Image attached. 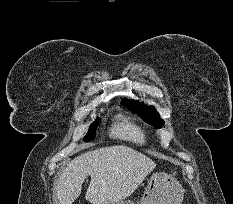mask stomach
Masks as SVG:
<instances>
[{
	"mask_svg": "<svg viewBox=\"0 0 233 204\" xmlns=\"http://www.w3.org/2000/svg\"><path fill=\"white\" fill-rule=\"evenodd\" d=\"M148 185L139 204H182L183 188L179 181L165 172L154 173L147 179ZM114 204H135L120 200Z\"/></svg>",
	"mask_w": 233,
	"mask_h": 204,
	"instance_id": "stomach-1",
	"label": "stomach"
}]
</instances>
